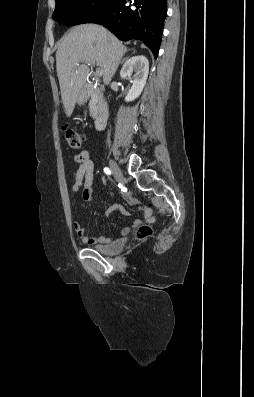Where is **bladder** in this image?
<instances>
[{
	"label": "bladder",
	"instance_id": "1",
	"mask_svg": "<svg viewBox=\"0 0 254 397\" xmlns=\"http://www.w3.org/2000/svg\"><path fill=\"white\" fill-rule=\"evenodd\" d=\"M124 245V241L117 240L107 245L95 246L94 250L104 255H115L123 250Z\"/></svg>",
	"mask_w": 254,
	"mask_h": 397
}]
</instances>
